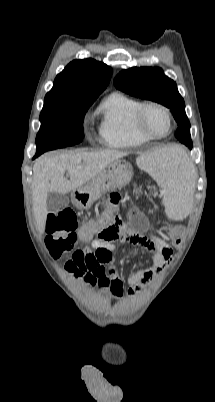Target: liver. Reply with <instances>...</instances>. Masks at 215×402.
Returning a JSON list of instances; mask_svg holds the SVG:
<instances>
[{
	"label": "liver",
	"instance_id": "liver-1",
	"mask_svg": "<svg viewBox=\"0 0 215 402\" xmlns=\"http://www.w3.org/2000/svg\"><path fill=\"white\" fill-rule=\"evenodd\" d=\"M124 156V152L109 149L68 152L37 159L33 167L32 201L39 232L43 233L46 225L48 193L67 194L81 188ZM66 171L69 180L64 177Z\"/></svg>",
	"mask_w": 215,
	"mask_h": 402
}]
</instances>
